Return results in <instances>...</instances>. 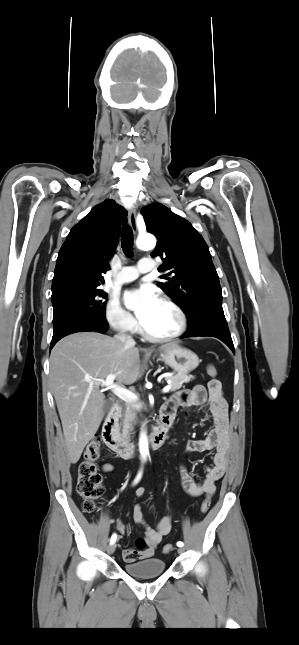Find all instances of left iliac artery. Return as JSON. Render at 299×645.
<instances>
[{
    "label": "left iliac artery",
    "mask_w": 299,
    "mask_h": 645,
    "mask_svg": "<svg viewBox=\"0 0 299 645\" xmlns=\"http://www.w3.org/2000/svg\"><path fill=\"white\" fill-rule=\"evenodd\" d=\"M183 545H184V544H183V542H181V541H178V542H177V546H178V547H183Z\"/></svg>",
    "instance_id": "44dca946"
}]
</instances>
